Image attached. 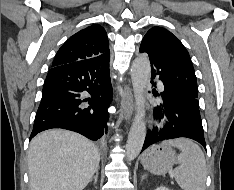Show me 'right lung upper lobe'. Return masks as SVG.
Returning <instances> with one entry per match:
<instances>
[{"label":"right lung upper lobe","mask_w":234,"mask_h":190,"mask_svg":"<svg viewBox=\"0 0 234 190\" xmlns=\"http://www.w3.org/2000/svg\"><path fill=\"white\" fill-rule=\"evenodd\" d=\"M109 55L105 29L95 24L71 36L57 52L51 68L95 57L109 59Z\"/></svg>","instance_id":"obj_1"}]
</instances>
